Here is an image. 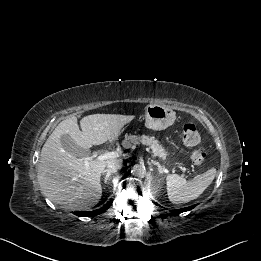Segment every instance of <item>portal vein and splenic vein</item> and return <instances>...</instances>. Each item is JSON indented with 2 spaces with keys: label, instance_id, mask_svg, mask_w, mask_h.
<instances>
[{
  "label": "portal vein and splenic vein",
  "instance_id": "1",
  "mask_svg": "<svg viewBox=\"0 0 261 261\" xmlns=\"http://www.w3.org/2000/svg\"><path fill=\"white\" fill-rule=\"evenodd\" d=\"M119 156H121V152H118V151L106 152V153H104V154L99 155V156L96 158V160H97V161H104V160H108V159H114V158H117V157H119ZM91 160H92V159H89V158H86V159L84 160V164H85V169H86V170H88V168H89V163H90ZM181 169H182L183 173L185 174L186 169H185L184 167H181ZM184 174H183V176H184Z\"/></svg>",
  "mask_w": 261,
  "mask_h": 261
}]
</instances>
